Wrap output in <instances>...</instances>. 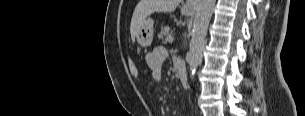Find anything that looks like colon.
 Returning a JSON list of instances; mask_svg holds the SVG:
<instances>
[{
	"label": "colon",
	"mask_w": 305,
	"mask_h": 116,
	"mask_svg": "<svg viewBox=\"0 0 305 116\" xmlns=\"http://www.w3.org/2000/svg\"><path fill=\"white\" fill-rule=\"evenodd\" d=\"M128 67H129L130 73L133 76L138 77L139 71H138V68H137L136 64L133 61H131V60L129 61Z\"/></svg>",
	"instance_id": "obj_1"
}]
</instances>
